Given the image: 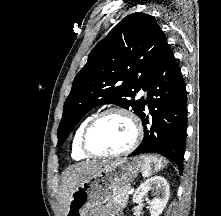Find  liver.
<instances>
[{"label":"liver","mask_w":221,"mask_h":216,"mask_svg":"<svg viewBox=\"0 0 221 216\" xmlns=\"http://www.w3.org/2000/svg\"><path fill=\"white\" fill-rule=\"evenodd\" d=\"M106 165V162L98 163L96 161H89L79 163L73 167L68 168L62 176L61 187L59 191L60 202L64 210L69 201L71 193L90 175L101 169Z\"/></svg>","instance_id":"obj_1"}]
</instances>
